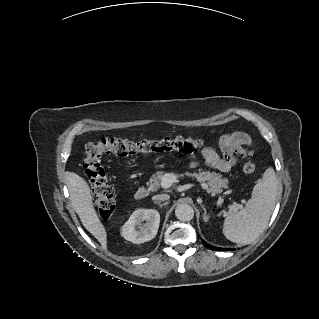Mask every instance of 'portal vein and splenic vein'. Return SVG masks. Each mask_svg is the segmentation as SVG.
Segmentation results:
<instances>
[{
  "mask_svg": "<svg viewBox=\"0 0 319 319\" xmlns=\"http://www.w3.org/2000/svg\"><path fill=\"white\" fill-rule=\"evenodd\" d=\"M174 182H176V175L173 173H165L161 178V188L167 189L169 188ZM238 208V206H232V209Z\"/></svg>",
  "mask_w": 319,
  "mask_h": 319,
  "instance_id": "18ae733b",
  "label": "portal vein and splenic vein"
}]
</instances>
